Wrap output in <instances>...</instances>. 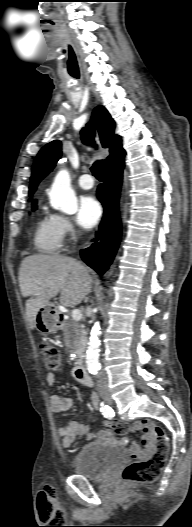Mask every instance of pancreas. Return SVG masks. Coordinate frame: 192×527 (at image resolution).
I'll return each instance as SVG.
<instances>
[{
	"mask_svg": "<svg viewBox=\"0 0 192 527\" xmlns=\"http://www.w3.org/2000/svg\"><path fill=\"white\" fill-rule=\"evenodd\" d=\"M63 333L65 341L72 345L77 351L83 348L86 342V333L80 323L69 320L63 325Z\"/></svg>",
	"mask_w": 192,
	"mask_h": 527,
	"instance_id": "cf45deb5",
	"label": "pancreas"
}]
</instances>
